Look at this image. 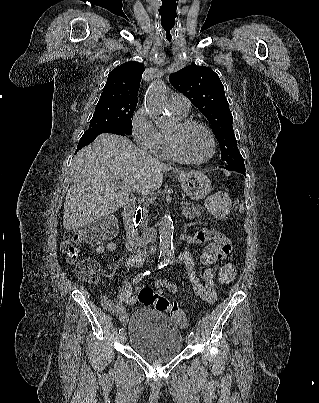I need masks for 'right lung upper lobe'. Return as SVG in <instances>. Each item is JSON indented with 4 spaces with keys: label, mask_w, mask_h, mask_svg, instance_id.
Masks as SVG:
<instances>
[{
    "label": "right lung upper lobe",
    "mask_w": 319,
    "mask_h": 403,
    "mask_svg": "<svg viewBox=\"0 0 319 403\" xmlns=\"http://www.w3.org/2000/svg\"><path fill=\"white\" fill-rule=\"evenodd\" d=\"M144 70V66L136 61L117 66L109 73L98 103L137 105V93Z\"/></svg>",
    "instance_id": "1"
}]
</instances>
